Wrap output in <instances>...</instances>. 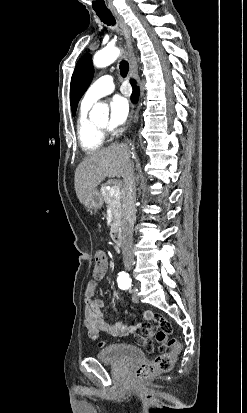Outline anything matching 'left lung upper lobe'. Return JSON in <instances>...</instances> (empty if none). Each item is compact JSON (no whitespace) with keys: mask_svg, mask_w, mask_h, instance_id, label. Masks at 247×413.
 <instances>
[{"mask_svg":"<svg viewBox=\"0 0 247 413\" xmlns=\"http://www.w3.org/2000/svg\"><path fill=\"white\" fill-rule=\"evenodd\" d=\"M93 74L94 70L91 55L86 54L77 62L71 78L70 104L73 115H75L79 100L92 81Z\"/></svg>","mask_w":247,"mask_h":413,"instance_id":"left-lung-upper-lobe-1","label":"left lung upper lobe"}]
</instances>
